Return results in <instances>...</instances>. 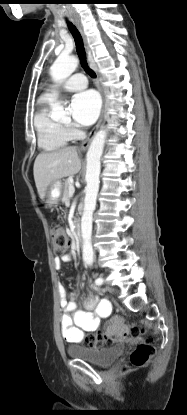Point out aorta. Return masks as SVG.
<instances>
[{"mask_svg":"<svg viewBox=\"0 0 187 415\" xmlns=\"http://www.w3.org/2000/svg\"><path fill=\"white\" fill-rule=\"evenodd\" d=\"M78 60L74 56L60 55L50 67V75L55 82H62L68 78L77 68ZM66 111L59 103L51 104V116L62 118ZM106 139V131L100 130L94 136L87 152L86 189L84 210L81 219V234L83 239V260L87 264L93 263V248L91 243L93 212L96 207V199L99 191V175L101 171L100 158L103 153Z\"/></svg>","mask_w":187,"mask_h":415,"instance_id":"762f6f07","label":"aorta"}]
</instances>
